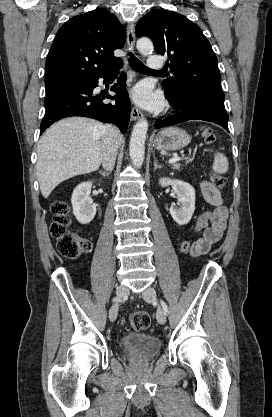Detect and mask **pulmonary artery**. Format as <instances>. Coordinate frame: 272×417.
Listing matches in <instances>:
<instances>
[{
	"label": "pulmonary artery",
	"instance_id": "obj_1",
	"mask_svg": "<svg viewBox=\"0 0 272 417\" xmlns=\"http://www.w3.org/2000/svg\"><path fill=\"white\" fill-rule=\"evenodd\" d=\"M164 62L160 56L152 55L148 59V67L151 70H159L163 68Z\"/></svg>",
	"mask_w": 272,
	"mask_h": 417
}]
</instances>
